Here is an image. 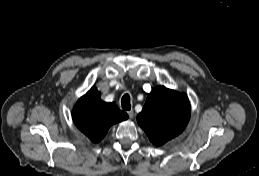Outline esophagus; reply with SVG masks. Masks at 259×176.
Here are the masks:
<instances>
[{"label":"esophagus","mask_w":259,"mask_h":176,"mask_svg":"<svg viewBox=\"0 0 259 176\" xmlns=\"http://www.w3.org/2000/svg\"><path fill=\"white\" fill-rule=\"evenodd\" d=\"M127 113H128L129 118L132 119L134 117V111L132 109L129 110Z\"/></svg>","instance_id":"1"}]
</instances>
